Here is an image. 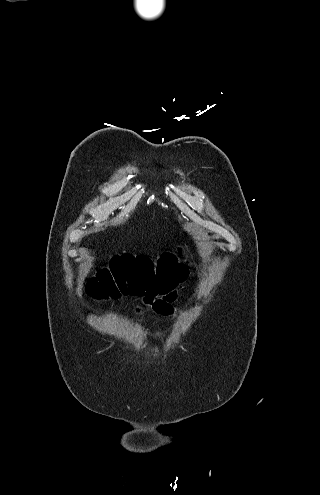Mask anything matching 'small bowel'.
Instances as JSON below:
<instances>
[{"mask_svg":"<svg viewBox=\"0 0 320 495\" xmlns=\"http://www.w3.org/2000/svg\"><path fill=\"white\" fill-rule=\"evenodd\" d=\"M186 277V272H184L183 278ZM143 303L151 307V309L158 315L164 317H176L178 312L174 308L173 304L178 298V291L176 286L164 293L155 294H143Z\"/></svg>","mask_w":320,"mask_h":495,"instance_id":"obj_1","label":"small bowel"}]
</instances>
